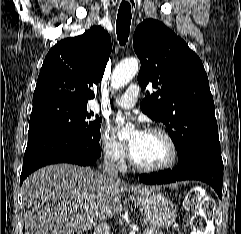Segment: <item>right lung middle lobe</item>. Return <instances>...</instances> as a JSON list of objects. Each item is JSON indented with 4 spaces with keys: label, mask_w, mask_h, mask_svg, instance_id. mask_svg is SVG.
Masks as SVG:
<instances>
[{
    "label": "right lung middle lobe",
    "mask_w": 241,
    "mask_h": 234,
    "mask_svg": "<svg viewBox=\"0 0 241 234\" xmlns=\"http://www.w3.org/2000/svg\"><path fill=\"white\" fill-rule=\"evenodd\" d=\"M87 109V104L49 102L33 105L28 138L57 133L71 136L84 144L98 146L101 119Z\"/></svg>",
    "instance_id": "dd1d6c3e"
}]
</instances>
